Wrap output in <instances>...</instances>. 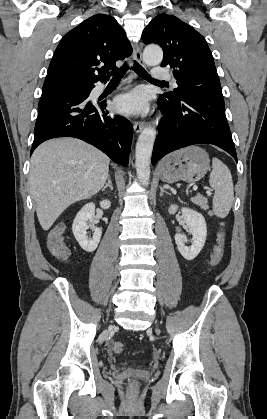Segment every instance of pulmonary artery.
<instances>
[{
  "instance_id": "1",
  "label": "pulmonary artery",
  "mask_w": 267,
  "mask_h": 419,
  "mask_svg": "<svg viewBox=\"0 0 267 419\" xmlns=\"http://www.w3.org/2000/svg\"><path fill=\"white\" fill-rule=\"evenodd\" d=\"M153 78L156 80H171V75L164 69L161 68H154L153 69ZM174 86H177L175 80H172Z\"/></svg>"
}]
</instances>
